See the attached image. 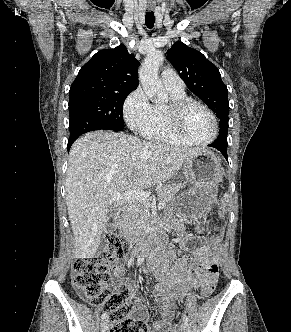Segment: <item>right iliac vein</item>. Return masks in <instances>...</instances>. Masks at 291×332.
I'll use <instances>...</instances> for the list:
<instances>
[{
	"mask_svg": "<svg viewBox=\"0 0 291 332\" xmlns=\"http://www.w3.org/2000/svg\"><path fill=\"white\" fill-rule=\"evenodd\" d=\"M100 329H101V332H107L108 320H106V319L102 320V322L100 323Z\"/></svg>",
	"mask_w": 291,
	"mask_h": 332,
	"instance_id": "right-iliac-vein-1",
	"label": "right iliac vein"
}]
</instances>
